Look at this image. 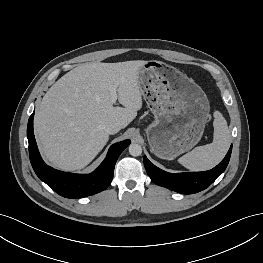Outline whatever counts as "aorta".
Masks as SVG:
<instances>
[{
  "mask_svg": "<svg viewBox=\"0 0 263 263\" xmlns=\"http://www.w3.org/2000/svg\"><path fill=\"white\" fill-rule=\"evenodd\" d=\"M129 153L130 155L136 157V156H140L142 153V147L139 144L136 143H132L129 145Z\"/></svg>",
  "mask_w": 263,
  "mask_h": 263,
  "instance_id": "aorta-1",
  "label": "aorta"
}]
</instances>
